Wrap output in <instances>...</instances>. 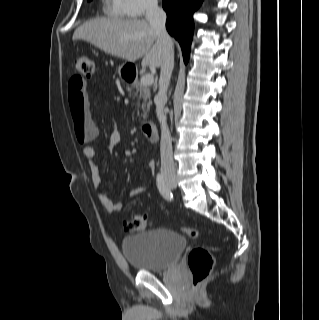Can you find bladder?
Wrapping results in <instances>:
<instances>
[{
  "label": "bladder",
  "instance_id": "obj_1",
  "mask_svg": "<svg viewBox=\"0 0 319 320\" xmlns=\"http://www.w3.org/2000/svg\"><path fill=\"white\" fill-rule=\"evenodd\" d=\"M187 247L185 237L172 229H153L125 237L122 253L138 271H162L177 263Z\"/></svg>",
  "mask_w": 319,
  "mask_h": 320
}]
</instances>
